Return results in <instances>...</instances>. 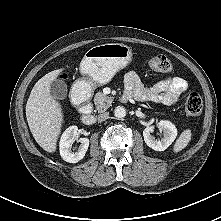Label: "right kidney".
<instances>
[{
	"mask_svg": "<svg viewBox=\"0 0 221 221\" xmlns=\"http://www.w3.org/2000/svg\"><path fill=\"white\" fill-rule=\"evenodd\" d=\"M77 138H78L77 126H70L63 132L60 139L59 147H60V155L64 161L69 163H77L78 161L84 158L89 147V139L80 138L79 148L76 150V152H72L70 148Z\"/></svg>",
	"mask_w": 221,
	"mask_h": 221,
	"instance_id": "1",
	"label": "right kidney"
}]
</instances>
